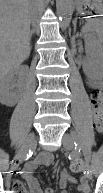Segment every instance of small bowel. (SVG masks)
I'll use <instances>...</instances> for the list:
<instances>
[{"mask_svg": "<svg viewBox=\"0 0 103 193\" xmlns=\"http://www.w3.org/2000/svg\"><path fill=\"white\" fill-rule=\"evenodd\" d=\"M53 162V155L49 152L40 153L34 160L25 163L22 171V179L27 184L30 193H43L38 181L33 176V171L40 165H49ZM71 184H77L78 193H88L89 185L86 176L77 180L69 176L66 170L62 169L60 171V186L62 187L61 193H69V186ZM17 187H24L21 182L15 181L13 184V191L11 193H16ZM26 192V190H25ZM27 193V192H26ZM45 193H56L53 189H46Z\"/></svg>", "mask_w": 103, "mask_h": 193, "instance_id": "obj_1", "label": "small bowel"}]
</instances>
